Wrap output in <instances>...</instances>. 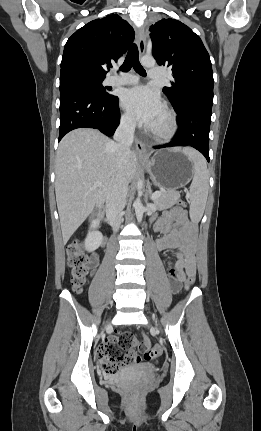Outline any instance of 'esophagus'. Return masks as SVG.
Instances as JSON below:
<instances>
[{
    "label": "esophagus",
    "instance_id": "obj_1",
    "mask_svg": "<svg viewBox=\"0 0 261 431\" xmlns=\"http://www.w3.org/2000/svg\"><path fill=\"white\" fill-rule=\"evenodd\" d=\"M137 45L139 49L140 56H143L146 48V32L144 29L138 30L136 34ZM136 151L140 156H144L146 154L145 144L139 139L136 140Z\"/></svg>",
    "mask_w": 261,
    "mask_h": 431
}]
</instances>
